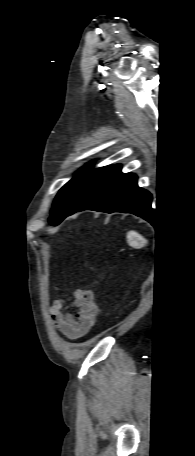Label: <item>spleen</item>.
<instances>
[{
  "mask_svg": "<svg viewBox=\"0 0 195 456\" xmlns=\"http://www.w3.org/2000/svg\"><path fill=\"white\" fill-rule=\"evenodd\" d=\"M127 241L133 247H140L147 243V241L136 231H129L127 233Z\"/></svg>",
  "mask_w": 195,
  "mask_h": 456,
  "instance_id": "obj_1",
  "label": "spleen"
}]
</instances>
